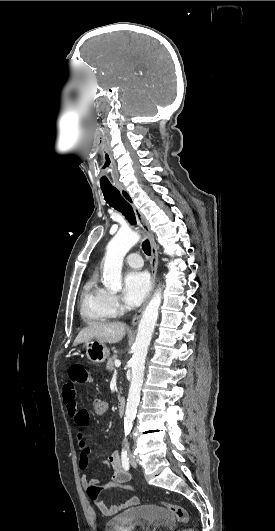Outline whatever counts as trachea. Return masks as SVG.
<instances>
[{"instance_id":"1","label":"trachea","mask_w":275,"mask_h":531,"mask_svg":"<svg viewBox=\"0 0 275 531\" xmlns=\"http://www.w3.org/2000/svg\"><path fill=\"white\" fill-rule=\"evenodd\" d=\"M106 202L112 207L120 211L130 224L135 226L137 224L136 217L133 212L132 206L126 199L121 196L120 191L115 186H103L101 187ZM142 249L147 256L151 254V246L148 240L143 241Z\"/></svg>"}]
</instances>
